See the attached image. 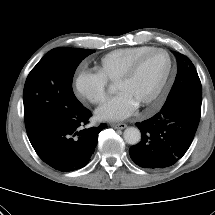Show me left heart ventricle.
Wrapping results in <instances>:
<instances>
[{
	"instance_id": "obj_1",
	"label": "left heart ventricle",
	"mask_w": 215,
	"mask_h": 215,
	"mask_svg": "<svg viewBox=\"0 0 215 215\" xmlns=\"http://www.w3.org/2000/svg\"><path fill=\"white\" fill-rule=\"evenodd\" d=\"M168 63V58L164 53L157 52L149 55L131 79L116 84V91L129 95L138 106L143 104L162 82Z\"/></svg>"
}]
</instances>
